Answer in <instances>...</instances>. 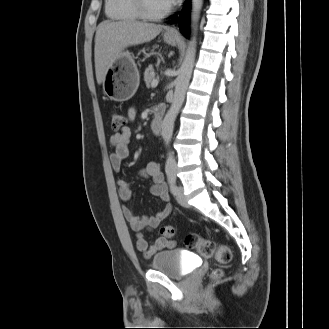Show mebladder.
<instances>
[{"label": "bladder", "mask_w": 329, "mask_h": 329, "mask_svg": "<svg viewBox=\"0 0 329 329\" xmlns=\"http://www.w3.org/2000/svg\"><path fill=\"white\" fill-rule=\"evenodd\" d=\"M154 271L162 272L171 278H183L187 275L184 260L179 249L163 250L155 254L151 261Z\"/></svg>", "instance_id": "obj_1"}]
</instances>
